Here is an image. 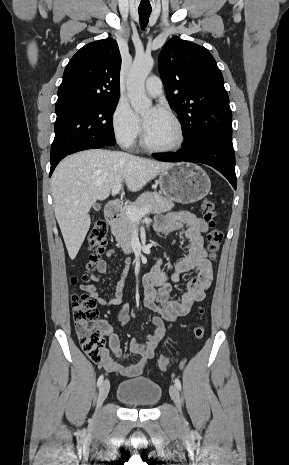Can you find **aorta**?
<instances>
[{
	"instance_id": "aorta-1",
	"label": "aorta",
	"mask_w": 289,
	"mask_h": 465,
	"mask_svg": "<svg viewBox=\"0 0 289 465\" xmlns=\"http://www.w3.org/2000/svg\"><path fill=\"white\" fill-rule=\"evenodd\" d=\"M154 60L151 56L136 57L128 73L126 87L133 109L142 113L152 105L145 91V80L151 72Z\"/></svg>"
}]
</instances>
